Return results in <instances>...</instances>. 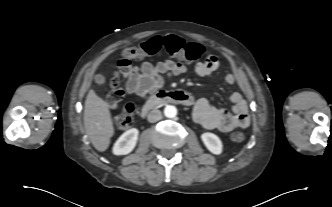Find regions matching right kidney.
<instances>
[{
	"label": "right kidney",
	"instance_id": "right-kidney-1",
	"mask_svg": "<svg viewBox=\"0 0 332 207\" xmlns=\"http://www.w3.org/2000/svg\"><path fill=\"white\" fill-rule=\"evenodd\" d=\"M139 131L136 128L129 129L123 133L113 146L114 155L129 154L136 146Z\"/></svg>",
	"mask_w": 332,
	"mask_h": 207
}]
</instances>
